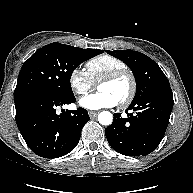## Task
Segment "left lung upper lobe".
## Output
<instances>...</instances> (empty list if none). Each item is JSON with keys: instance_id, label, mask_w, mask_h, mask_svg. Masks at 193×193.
Returning a JSON list of instances; mask_svg holds the SVG:
<instances>
[{"instance_id": "1", "label": "left lung upper lobe", "mask_w": 193, "mask_h": 193, "mask_svg": "<svg viewBox=\"0 0 193 193\" xmlns=\"http://www.w3.org/2000/svg\"><path fill=\"white\" fill-rule=\"evenodd\" d=\"M106 52L123 61L132 70L137 86L133 101L141 99L168 81L160 67L143 53L133 50H107Z\"/></svg>"}]
</instances>
